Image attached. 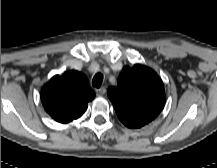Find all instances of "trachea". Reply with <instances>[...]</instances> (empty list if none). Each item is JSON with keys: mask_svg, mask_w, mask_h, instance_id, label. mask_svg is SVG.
Returning a JSON list of instances; mask_svg holds the SVG:
<instances>
[{"mask_svg": "<svg viewBox=\"0 0 217 168\" xmlns=\"http://www.w3.org/2000/svg\"><path fill=\"white\" fill-rule=\"evenodd\" d=\"M102 80H103V75L101 73L95 74L92 81L93 86L96 88H100L102 84Z\"/></svg>", "mask_w": 217, "mask_h": 168, "instance_id": "3493384b", "label": "trachea"}]
</instances>
